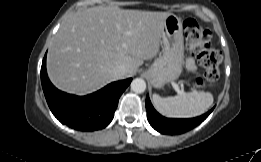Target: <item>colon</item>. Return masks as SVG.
I'll return each mask as SVG.
<instances>
[{
	"label": "colon",
	"mask_w": 261,
	"mask_h": 162,
	"mask_svg": "<svg viewBox=\"0 0 261 162\" xmlns=\"http://www.w3.org/2000/svg\"><path fill=\"white\" fill-rule=\"evenodd\" d=\"M188 49L203 68V76L196 79L200 86L213 85L220 76L219 64L222 55L219 51L210 48L211 32L199 25L193 19H187L183 25Z\"/></svg>",
	"instance_id": "obj_1"
}]
</instances>
